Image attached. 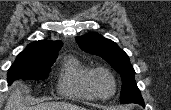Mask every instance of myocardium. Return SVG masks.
I'll list each match as a JSON object with an SVG mask.
<instances>
[{"instance_id": "f54148a6", "label": "myocardium", "mask_w": 171, "mask_h": 110, "mask_svg": "<svg viewBox=\"0 0 171 110\" xmlns=\"http://www.w3.org/2000/svg\"><path fill=\"white\" fill-rule=\"evenodd\" d=\"M98 75H105L111 80L112 85H113V91L109 96H102L97 92L95 88V79ZM88 85L93 96L100 100H108L112 98L115 95L116 90H117V82H116L114 75L112 74L110 70L104 67L95 68L90 71L89 76H88Z\"/></svg>"}]
</instances>
